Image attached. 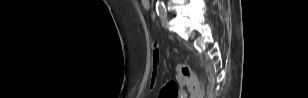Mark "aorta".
<instances>
[{"instance_id":"aorta-1","label":"aorta","mask_w":308,"mask_h":98,"mask_svg":"<svg viewBox=\"0 0 308 98\" xmlns=\"http://www.w3.org/2000/svg\"><path fill=\"white\" fill-rule=\"evenodd\" d=\"M157 5H158V6H161V5H162V0H158V1H157Z\"/></svg>"}]
</instances>
